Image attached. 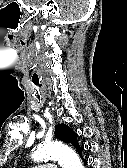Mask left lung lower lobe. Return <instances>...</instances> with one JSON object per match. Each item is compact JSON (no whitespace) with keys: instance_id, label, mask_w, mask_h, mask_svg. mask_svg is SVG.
Instances as JSON below:
<instances>
[{"instance_id":"1","label":"left lung lower lobe","mask_w":127,"mask_h":168,"mask_svg":"<svg viewBox=\"0 0 127 168\" xmlns=\"http://www.w3.org/2000/svg\"><path fill=\"white\" fill-rule=\"evenodd\" d=\"M83 150H84V147H78L77 148V152L82 156V152H83ZM82 159H83V161H84V163L85 164H87V161L82 157Z\"/></svg>"}]
</instances>
